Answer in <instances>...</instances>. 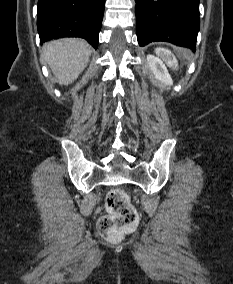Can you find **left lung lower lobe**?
Masks as SVG:
<instances>
[{"label":"left lung lower lobe","instance_id":"1","mask_svg":"<svg viewBox=\"0 0 233 284\" xmlns=\"http://www.w3.org/2000/svg\"><path fill=\"white\" fill-rule=\"evenodd\" d=\"M140 46L154 41L196 50L200 27L199 0H135Z\"/></svg>","mask_w":233,"mask_h":284}]
</instances>
